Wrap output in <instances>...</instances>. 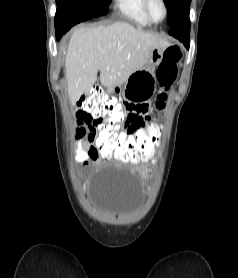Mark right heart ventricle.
I'll return each mask as SVG.
<instances>
[{"label":"right heart ventricle","instance_id":"1","mask_svg":"<svg viewBox=\"0 0 238 278\" xmlns=\"http://www.w3.org/2000/svg\"><path fill=\"white\" fill-rule=\"evenodd\" d=\"M118 10L127 18L148 25L151 21L145 14L143 0H116Z\"/></svg>","mask_w":238,"mask_h":278}]
</instances>
